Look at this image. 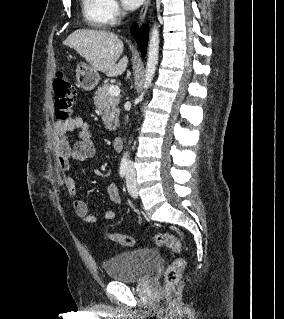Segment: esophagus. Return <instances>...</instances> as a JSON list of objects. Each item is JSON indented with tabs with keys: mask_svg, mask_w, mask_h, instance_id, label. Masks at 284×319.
<instances>
[{
	"mask_svg": "<svg viewBox=\"0 0 284 319\" xmlns=\"http://www.w3.org/2000/svg\"><path fill=\"white\" fill-rule=\"evenodd\" d=\"M150 1L151 0H145V3L139 13V17H138V23L139 25H141L144 20H145V17H146V14H147V11H148V8H149V4H150Z\"/></svg>",
	"mask_w": 284,
	"mask_h": 319,
	"instance_id": "obj_1",
	"label": "esophagus"
}]
</instances>
